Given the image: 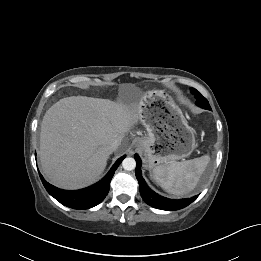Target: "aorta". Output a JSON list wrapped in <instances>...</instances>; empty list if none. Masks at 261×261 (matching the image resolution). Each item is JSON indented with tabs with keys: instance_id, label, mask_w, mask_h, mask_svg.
<instances>
[{
	"instance_id": "obj_1",
	"label": "aorta",
	"mask_w": 261,
	"mask_h": 261,
	"mask_svg": "<svg viewBox=\"0 0 261 261\" xmlns=\"http://www.w3.org/2000/svg\"><path fill=\"white\" fill-rule=\"evenodd\" d=\"M122 167L125 170L131 171L136 167V161L134 158L127 157L122 161Z\"/></svg>"
}]
</instances>
